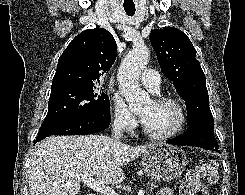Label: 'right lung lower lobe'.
I'll use <instances>...</instances> for the list:
<instances>
[{"instance_id": "1", "label": "right lung lower lobe", "mask_w": 245, "mask_h": 195, "mask_svg": "<svg viewBox=\"0 0 245 195\" xmlns=\"http://www.w3.org/2000/svg\"><path fill=\"white\" fill-rule=\"evenodd\" d=\"M111 121L109 111H98L89 115L65 122L57 127L38 133L34 144L51 135H85L105 130Z\"/></svg>"}]
</instances>
